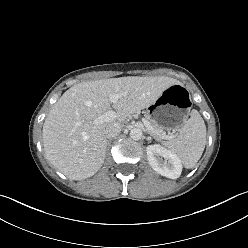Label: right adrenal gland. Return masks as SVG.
<instances>
[{
  "label": "right adrenal gland",
  "instance_id": "right-adrenal-gland-1",
  "mask_svg": "<svg viewBox=\"0 0 248 248\" xmlns=\"http://www.w3.org/2000/svg\"><path fill=\"white\" fill-rule=\"evenodd\" d=\"M110 146H111V139L108 140V149L110 148Z\"/></svg>",
  "mask_w": 248,
  "mask_h": 248
}]
</instances>
